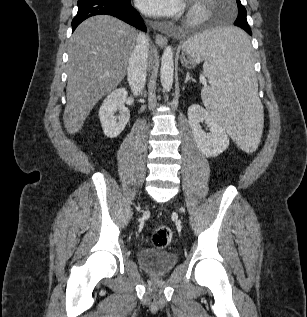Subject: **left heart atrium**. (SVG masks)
Wrapping results in <instances>:
<instances>
[{
    "mask_svg": "<svg viewBox=\"0 0 307 317\" xmlns=\"http://www.w3.org/2000/svg\"><path fill=\"white\" fill-rule=\"evenodd\" d=\"M138 8L152 16H172L184 9L183 0H136Z\"/></svg>",
    "mask_w": 307,
    "mask_h": 317,
    "instance_id": "1",
    "label": "left heart atrium"
}]
</instances>
